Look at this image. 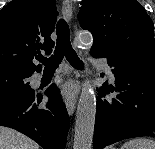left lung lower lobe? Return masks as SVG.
I'll return each instance as SVG.
<instances>
[{
  "mask_svg": "<svg viewBox=\"0 0 155 149\" xmlns=\"http://www.w3.org/2000/svg\"><path fill=\"white\" fill-rule=\"evenodd\" d=\"M91 54L108 59L116 84V90L106 82L99 89L93 149L127 138L155 137V53L93 49ZM109 91L119 94L106 96Z\"/></svg>",
  "mask_w": 155,
  "mask_h": 149,
  "instance_id": "1",
  "label": "left lung lower lobe"
}]
</instances>
